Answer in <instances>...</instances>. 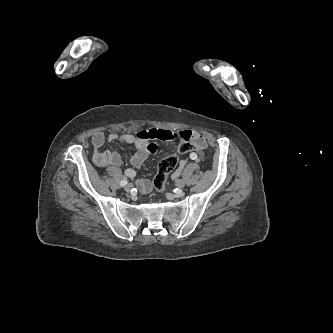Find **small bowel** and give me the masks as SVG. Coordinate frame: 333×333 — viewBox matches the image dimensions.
Here are the masks:
<instances>
[{"mask_svg":"<svg viewBox=\"0 0 333 333\" xmlns=\"http://www.w3.org/2000/svg\"><path fill=\"white\" fill-rule=\"evenodd\" d=\"M109 141H116L122 144H131L135 147L136 152L131 156L130 163L134 168H139L147 160V158L155 154L158 151V145L155 143L156 140L169 141L173 139H189L199 149H203L207 146L208 141L206 137L200 133L192 130H179L169 131L162 129H144L136 134H116L112 133L107 138ZM106 137L103 132H96L91 137V143L93 147V162L98 167H117L121 163L120 155L112 150H104L103 145ZM190 160H197V154L191 153L189 155ZM186 165V160H182L174 177H178L183 168ZM125 175L128 178H133L136 172L133 168L125 170ZM139 188L142 193H149L151 191V185L148 181L143 180L139 184Z\"/></svg>","mask_w":333,"mask_h":333,"instance_id":"small-bowel-1","label":"small bowel"}]
</instances>
